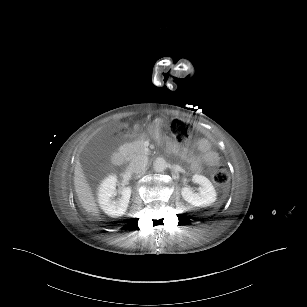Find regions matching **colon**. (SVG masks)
<instances>
[{
	"instance_id": "colon-1",
	"label": "colon",
	"mask_w": 307,
	"mask_h": 307,
	"mask_svg": "<svg viewBox=\"0 0 307 307\" xmlns=\"http://www.w3.org/2000/svg\"><path fill=\"white\" fill-rule=\"evenodd\" d=\"M170 131L179 144H188L193 136V128L190 123L180 118H173L170 122ZM213 181L218 185H226L228 173L222 164L215 165L211 170Z\"/></svg>"
}]
</instances>
